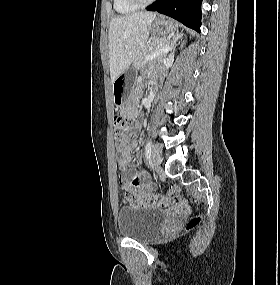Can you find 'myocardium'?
<instances>
[{
	"mask_svg": "<svg viewBox=\"0 0 280 285\" xmlns=\"http://www.w3.org/2000/svg\"><path fill=\"white\" fill-rule=\"evenodd\" d=\"M131 4L136 5L137 7H142L153 3L156 0H127Z\"/></svg>",
	"mask_w": 280,
	"mask_h": 285,
	"instance_id": "obj_1",
	"label": "myocardium"
}]
</instances>
